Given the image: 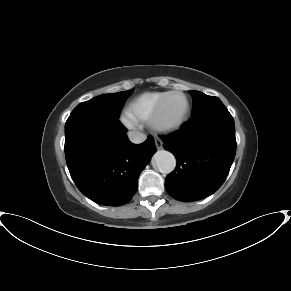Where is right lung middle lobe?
<instances>
[{"label":"right lung middle lobe","instance_id":"obj_1","mask_svg":"<svg viewBox=\"0 0 291 291\" xmlns=\"http://www.w3.org/2000/svg\"><path fill=\"white\" fill-rule=\"evenodd\" d=\"M132 92L133 89L94 97L91 100L78 104L71 112V115L76 113H90L119 119L121 108Z\"/></svg>","mask_w":291,"mask_h":291}]
</instances>
